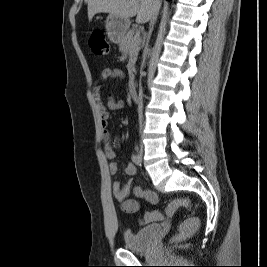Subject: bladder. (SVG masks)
<instances>
[{
	"label": "bladder",
	"mask_w": 267,
	"mask_h": 267,
	"mask_svg": "<svg viewBox=\"0 0 267 267\" xmlns=\"http://www.w3.org/2000/svg\"><path fill=\"white\" fill-rule=\"evenodd\" d=\"M160 230L159 224H150L136 231L127 230L123 236L124 246L130 251H144L151 246Z\"/></svg>",
	"instance_id": "31cf9c89"
}]
</instances>
